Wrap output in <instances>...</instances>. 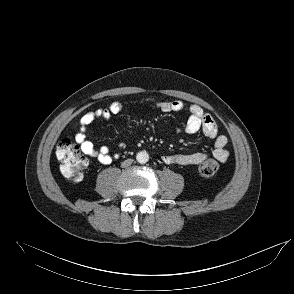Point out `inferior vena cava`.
Listing matches in <instances>:
<instances>
[{"label":"inferior vena cava","mask_w":294,"mask_h":294,"mask_svg":"<svg viewBox=\"0 0 294 294\" xmlns=\"http://www.w3.org/2000/svg\"><path fill=\"white\" fill-rule=\"evenodd\" d=\"M132 162H133L132 159H127V160L122 162L121 167H123V168L128 167L129 165L132 164Z\"/></svg>","instance_id":"obj_1"}]
</instances>
